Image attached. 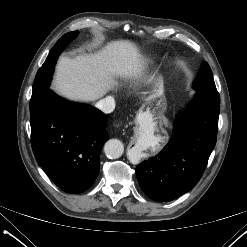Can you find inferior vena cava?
Instances as JSON below:
<instances>
[{"instance_id":"obj_1","label":"inferior vena cava","mask_w":247,"mask_h":247,"mask_svg":"<svg viewBox=\"0 0 247 247\" xmlns=\"http://www.w3.org/2000/svg\"><path fill=\"white\" fill-rule=\"evenodd\" d=\"M95 107L99 110H101L103 113H111L115 109V100L113 97L108 96L101 100H99Z\"/></svg>"}]
</instances>
